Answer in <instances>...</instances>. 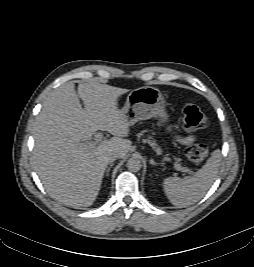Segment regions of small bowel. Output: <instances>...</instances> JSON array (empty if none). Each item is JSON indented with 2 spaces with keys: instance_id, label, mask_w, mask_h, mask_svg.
<instances>
[{
  "instance_id": "small-bowel-1",
  "label": "small bowel",
  "mask_w": 254,
  "mask_h": 267,
  "mask_svg": "<svg viewBox=\"0 0 254 267\" xmlns=\"http://www.w3.org/2000/svg\"><path fill=\"white\" fill-rule=\"evenodd\" d=\"M177 141L182 145H189L194 141V136H178Z\"/></svg>"
}]
</instances>
